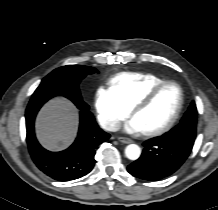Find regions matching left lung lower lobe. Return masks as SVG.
I'll use <instances>...</instances> for the list:
<instances>
[{"instance_id":"1","label":"left lung lower lobe","mask_w":218,"mask_h":210,"mask_svg":"<svg viewBox=\"0 0 218 210\" xmlns=\"http://www.w3.org/2000/svg\"><path fill=\"white\" fill-rule=\"evenodd\" d=\"M180 131L175 137L164 134L145 141L142 155L128 166V172L148 181L173 174L189 156L196 137L186 127Z\"/></svg>"}]
</instances>
